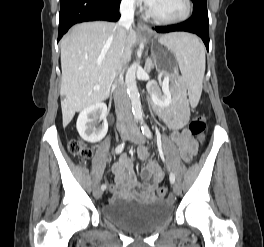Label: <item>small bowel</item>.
Listing matches in <instances>:
<instances>
[{"mask_svg": "<svg viewBox=\"0 0 264 247\" xmlns=\"http://www.w3.org/2000/svg\"><path fill=\"white\" fill-rule=\"evenodd\" d=\"M165 121L171 129V138L177 144L180 154L185 162H191L196 151L197 144L194 138L187 130L181 131L184 123L187 120V113L183 112L180 115L164 114ZM138 158L145 161L149 155L148 147H140L137 150ZM113 172L116 178V185L110 187L113 195L128 198L135 195L144 199H152L155 195V190L163 179L161 167L156 162L147 163L141 170L142 179L149 181L142 189L136 179L133 171V165L130 159L122 155L113 165ZM133 189H138L132 192Z\"/></svg>", "mask_w": 264, "mask_h": 247, "instance_id": "small-bowel-1", "label": "small bowel"}]
</instances>
